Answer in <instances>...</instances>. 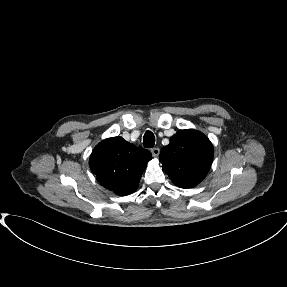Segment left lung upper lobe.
<instances>
[{"instance_id": "1", "label": "left lung upper lobe", "mask_w": 287, "mask_h": 287, "mask_svg": "<svg viewBox=\"0 0 287 287\" xmlns=\"http://www.w3.org/2000/svg\"><path fill=\"white\" fill-rule=\"evenodd\" d=\"M159 160L171 181L181 188H192L207 175L213 160V146L202 132L179 130L161 149Z\"/></svg>"}]
</instances>
